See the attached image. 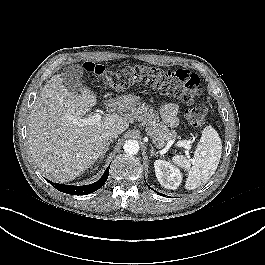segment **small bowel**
Returning a JSON list of instances; mask_svg holds the SVG:
<instances>
[{
	"mask_svg": "<svg viewBox=\"0 0 265 265\" xmlns=\"http://www.w3.org/2000/svg\"><path fill=\"white\" fill-rule=\"evenodd\" d=\"M178 107L175 103H165L161 109V115L164 123L169 127H174L178 123Z\"/></svg>",
	"mask_w": 265,
	"mask_h": 265,
	"instance_id": "obj_1",
	"label": "small bowel"
}]
</instances>
